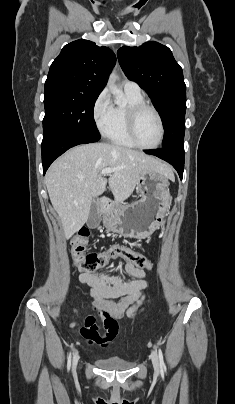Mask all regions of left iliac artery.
<instances>
[{"label":"left iliac artery","instance_id":"left-iliac-artery-1","mask_svg":"<svg viewBox=\"0 0 235 404\" xmlns=\"http://www.w3.org/2000/svg\"><path fill=\"white\" fill-rule=\"evenodd\" d=\"M158 355H159L160 367L163 370L165 368V364H164V359H163V353L160 348L158 349Z\"/></svg>","mask_w":235,"mask_h":404}]
</instances>
